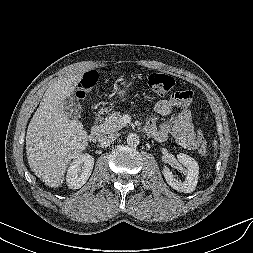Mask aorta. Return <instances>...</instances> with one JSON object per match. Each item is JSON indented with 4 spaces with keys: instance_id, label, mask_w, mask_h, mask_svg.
Returning <instances> with one entry per match:
<instances>
[{
    "instance_id": "762f6f07",
    "label": "aorta",
    "mask_w": 253,
    "mask_h": 253,
    "mask_svg": "<svg viewBox=\"0 0 253 253\" xmlns=\"http://www.w3.org/2000/svg\"><path fill=\"white\" fill-rule=\"evenodd\" d=\"M140 143L139 136L136 133H130L127 136V144L132 147L138 146Z\"/></svg>"
}]
</instances>
